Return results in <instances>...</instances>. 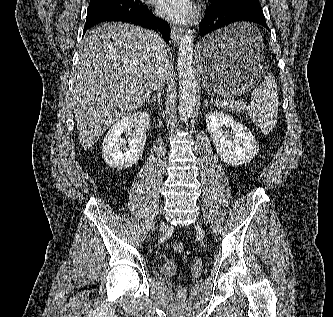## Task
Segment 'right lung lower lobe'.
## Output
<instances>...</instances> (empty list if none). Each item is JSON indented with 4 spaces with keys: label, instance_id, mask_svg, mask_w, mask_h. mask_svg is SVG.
<instances>
[{
    "label": "right lung lower lobe",
    "instance_id": "right-lung-lower-lobe-1",
    "mask_svg": "<svg viewBox=\"0 0 333 317\" xmlns=\"http://www.w3.org/2000/svg\"><path fill=\"white\" fill-rule=\"evenodd\" d=\"M106 21L127 22L138 25L147 29L159 31L166 43L169 42L170 27L168 23L160 18L155 17L147 6L141 5L138 9L128 11L121 10H104L93 13H87L86 23L83 33L89 27Z\"/></svg>",
    "mask_w": 333,
    "mask_h": 317
}]
</instances>
